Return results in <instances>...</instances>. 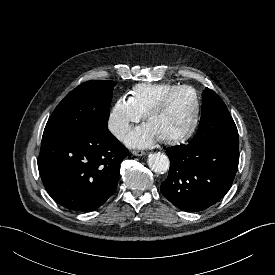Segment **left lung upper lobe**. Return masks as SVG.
<instances>
[{"mask_svg":"<svg viewBox=\"0 0 275 275\" xmlns=\"http://www.w3.org/2000/svg\"><path fill=\"white\" fill-rule=\"evenodd\" d=\"M191 141H238L236 125L225 103L208 88L202 93L201 120Z\"/></svg>","mask_w":275,"mask_h":275,"instance_id":"1","label":"left lung upper lobe"}]
</instances>
